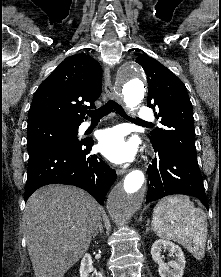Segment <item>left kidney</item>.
<instances>
[{"mask_svg": "<svg viewBox=\"0 0 221 277\" xmlns=\"http://www.w3.org/2000/svg\"><path fill=\"white\" fill-rule=\"evenodd\" d=\"M162 250L169 251L174 255L175 260L165 263L161 256ZM151 256L158 264L160 277H182L185 268V256L181 248L171 241L159 239L156 240L151 248Z\"/></svg>", "mask_w": 221, "mask_h": 277, "instance_id": "obj_1", "label": "left kidney"}]
</instances>
